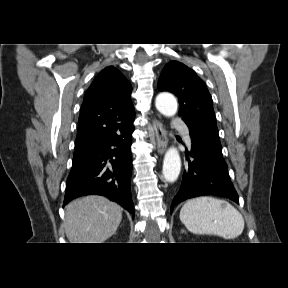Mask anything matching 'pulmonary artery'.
Here are the masks:
<instances>
[{
    "label": "pulmonary artery",
    "instance_id": "obj_1",
    "mask_svg": "<svg viewBox=\"0 0 288 288\" xmlns=\"http://www.w3.org/2000/svg\"><path fill=\"white\" fill-rule=\"evenodd\" d=\"M172 127L176 128V129H181L184 133V137L185 139L190 142V136H189V131L187 129V127L184 125V122L181 121L178 118H173L172 119Z\"/></svg>",
    "mask_w": 288,
    "mask_h": 288
}]
</instances>
